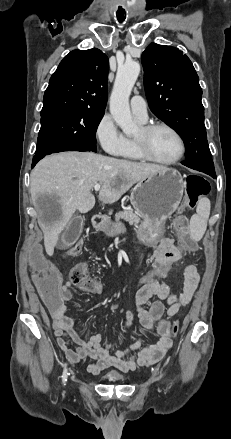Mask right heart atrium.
I'll return each mask as SVG.
<instances>
[{
  "label": "right heart atrium",
  "mask_w": 231,
  "mask_h": 439,
  "mask_svg": "<svg viewBox=\"0 0 231 439\" xmlns=\"http://www.w3.org/2000/svg\"><path fill=\"white\" fill-rule=\"evenodd\" d=\"M95 136L101 148L109 155L119 156L126 147V138L110 114H104L95 127Z\"/></svg>",
  "instance_id": "obj_1"
}]
</instances>
